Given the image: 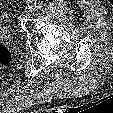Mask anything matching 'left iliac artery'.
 Wrapping results in <instances>:
<instances>
[{
    "mask_svg": "<svg viewBox=\"0 0 113 113\" xmlns=\"http://www.w3.org/2000/svg\"><path fill=\"white\" fill-rule=\"evenodd\" d=\"M41 6H42V1H40V0L36 1L35 0L34 7L35 8H40Z\"/></svg>",
    "mask_w": 113,
    "mask_h": 113,
    "instance_id": "left-iliac-artery-1",
    "label": "left iliac artery"
}]
</instances>
